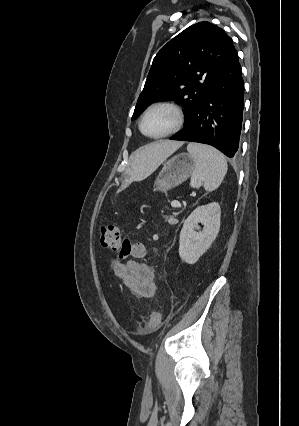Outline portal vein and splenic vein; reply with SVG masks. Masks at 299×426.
I'll return each instance as SVG.
<instances>
[{
	"mask_svg": "<svg viewBox=\"0 0 299 426\" xmlns=\"http://www.w3.org/2000/svg\"><path fill=\"white\" fill-rule=\"evenodd\" d=\"M181 204H180V202L179 201H177V200H174V201H172V203H171V206L172 207H179Z\"/></svg>",
	"mask_w": 299,
	"mask_h": 426,
	"instance_id": "18ae733b",
	"label": "portal vein and splenic vein"
}]
</instances>
